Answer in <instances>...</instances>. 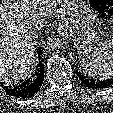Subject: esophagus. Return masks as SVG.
Masks as SVG:
<instances>
[{"label":"esophagus","instance_id":"esophagus-1","mask_svg":"<svg viewBox=\"0 0 113 113\" xmlns=\"http://www.w3.org/2000/svg\"><path fill=\"white\" fill-rule=\"evenodd\" d=\"M56 30L60 36L68 37V25L66 23L57 25Z\"/></svg>","mask_w":113,"mask_h":113}]
</instances>
